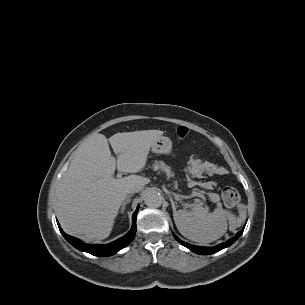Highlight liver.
Returning <instances> with one entry per match:
<instances>
[{
    "label": "liver",
    "instance_id": "liver-1",
    "mask_svg": "<svg viewBox=\"0 0 305 305\" xmlns=\"http://www.w3.org/2000/svg\"><path fill=\"white\" fill-rule=\"evenodd\" d=\"M163 135L160 130L90 135L77 149L57 186L56 213L63 230L86 241L107 238L114 226L127 189L146 185L150 179L129 175L115 179L117 169L137 173L144 169L151 146ZM108 141L117 154L111 155Z\"/></svg>",
    "mask_w": 305,
    "mask_h": 305
}]
</instances>
